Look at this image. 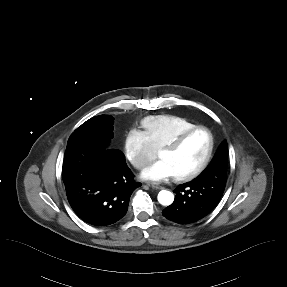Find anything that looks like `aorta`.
Wrapping results in <instances>:
<instances>
[{
    "label": "aorta",
    "mask_w": 287,
    "mask_h": 287,
    "mask_svg": "<svg viewBox=\"0 0 287 287\" xmlns=\"http://www.w3.org/2000/svg\"><path fill=\"white\" fill-rule=\"evenodd\" d=\"M158 202L163 206H169L174 201V195L172 192L167 190H161L157 196Z\"/></svg>",
    "instance_id": "aorta-1"
}]
</instances>
